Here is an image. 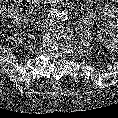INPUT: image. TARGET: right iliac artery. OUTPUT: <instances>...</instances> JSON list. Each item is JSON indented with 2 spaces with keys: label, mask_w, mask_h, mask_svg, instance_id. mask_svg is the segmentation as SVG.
I'll list each match as a JSON object with an SVG mask.
<instances>
[{
  "label": "right iliac artery",
  "mask_w": 118,
  "mask_h": 118,
  "mask_svg": "<svg viewBox=\"0 0 118 118\" xmlns=\"http://www.w3.org/2000/svg\"><path fill=\"white\" fill-rule=\"evenodd\" d=\"M49 16H51L52 18L58 17L59 13L57 9H53L50 11Z\"/></svg>",
  "instance_id": "82829eb1"
}]
</instances>
